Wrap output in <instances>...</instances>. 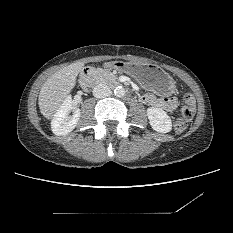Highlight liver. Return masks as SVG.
Segmentation results:
<instances>
[{
    "label": "liver",
    "mask_w": 233,
    "mask_h": 233,
    "mask_svg": "<svg viewBox=\"0 0 233 233\" xmlns=\"http://www.w3.org/2000/svg\"><path fill=\"white\" fill-rule=\"evenodd\" d=\"M83 67V62L72 63L54 73L43 84L38 104L40 112L45 118H54L64 100L75 87L76 78Z\"/></svg>",
    "instance_id": "6515ba94"
}]
</instances>
